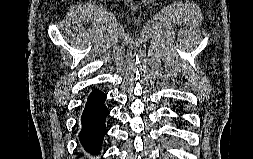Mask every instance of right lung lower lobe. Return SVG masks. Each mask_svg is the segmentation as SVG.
I'll return each mask as SVG.
<instances>
[{
    "label": "right lung lower lobe",
    "mask_w": 253,
    "mask_h": 159,
    "mask_svg": "<svg viewBox=\"0 0 253 159\" xmlns=\"http://www.w3.org/2000/svg\"><path fill=\"white\" fill-rule=\"evenodd\" d=\"M105 99L106 94L97 89L94 90L89 96L81 116L80 142L84 149L91 154L98 153L107 132L105 119L109 111L104 105Z\"/></svg>",
    "instance_id": "98d812e1"
}]
</instances>
